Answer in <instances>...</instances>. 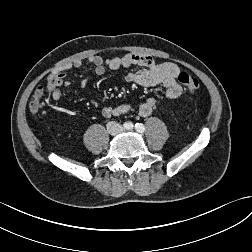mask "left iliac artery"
<instances>
[{"instance_id":"left-iliac-artery-1","label":"left iliac artery","mask_w":252,"mask_h":252,"mask_svg":"<svg viewBox=\"0 0 252 252\" xmlns=\"http://www.w3.org/2000/svg\"><path fill=\"white\" fill-rule=\"evenodd\" d=\"M135 128L138 132L142 133L145 131V126L142 123H136Z\"/></svg>"}]
</instances>
